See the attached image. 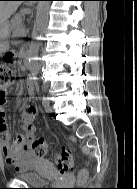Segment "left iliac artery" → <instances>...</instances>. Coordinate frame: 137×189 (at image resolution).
<instances>
[{
	"mask_svg": "<svg viewBox=\"0 0 137 189\" xmlns=\"http://www.w3.org/2000/svg\"><path fill=\"white\" fill-rule=\"evenodd\" d=\"M42 100H43V103H48V102L50 101V98L44 96V97L42 98Z\"/></svg>",
	"mask_w": 137,
	"mask_h": 189,
	"instance_id": "left-iliac-artery-1",
	"label": "left iliac artery"
}]
</instances>
